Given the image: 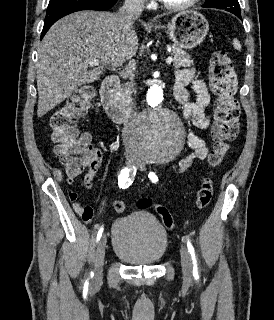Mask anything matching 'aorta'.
Returning <instances> with one entry per match:
<instances>
[{"mask_svg":"<svg viewBox=\"0 0 274 320\" xmlns=\"http://www.w3.org/2000/svg\"><path fill=\"white\" fill-rule=\"evenodd\" d=\"M147 108L132 124L133 141L138 152L149 161H168L181 150L184 127L179 116L166 103L163 88L150 86Z\"/></svg>","mask_w":274,"mask_h":320,"instance_id":"762f6f07","label":"aorta"}]
</instances>
